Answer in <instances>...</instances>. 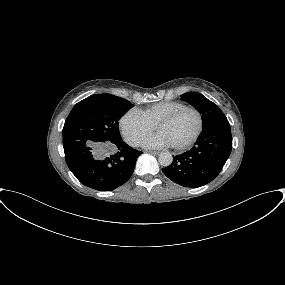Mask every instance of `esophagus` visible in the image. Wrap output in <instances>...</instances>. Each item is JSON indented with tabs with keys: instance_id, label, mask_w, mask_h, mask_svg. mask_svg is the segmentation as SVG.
I'll use <instances>...</instances> for the list:
<instances>
[{
	"instance_id": "34e87169",
	"label": "esophagus",
	"mask_w": 285,
	"mask_h": 285,
	"mask_svg": "<svg viewBox=\"0 0 285 285\" xmlns=\"http://www.w3.org/2000/svg\"><path fill=\"white\" fill-rule=\"evenodd\" d=\"M147 152L150 153V154H153V155H158L159 154L158 151H153V150H148Z\"/></svg>"
}]
</instances>
